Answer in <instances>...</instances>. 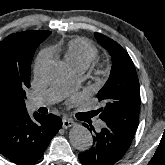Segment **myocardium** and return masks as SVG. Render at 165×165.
<instances>
[{
    "label": "myocardium",
    "instance_id": "1",
    "mask_svg": "<svg viewBox=\"0 0 165 165\" xmlns=\"http://www.w3.org/2000/svg\"><path fill=\"white\" fill-rule=\"evenodd\" d=\"M109 74V68L104 64H99L91 71V78L98 84L103 83Z\"/></svg>",
    "mask_w": 165,
    "mask_h": 165
}]
</instances>
